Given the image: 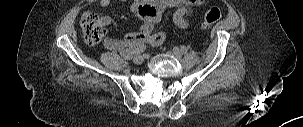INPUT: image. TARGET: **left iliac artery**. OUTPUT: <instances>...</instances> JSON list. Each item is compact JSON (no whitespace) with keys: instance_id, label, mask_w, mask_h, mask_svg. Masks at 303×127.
<instances>
[{"instance_id":"left-iliac-artery-1","label":"left iliac artery","mask_w":303,"mask_h":127,"mask_svg":"<svg viewBox=\"0 0 303 127\" xmlns=\"http://www.w3.org/2000/svg\"><path fill=\"white\" fill-rule=\"evenodd\" d=\"M180 51L185 54L187 52V48L185 46H181Z\"/></svg>"}]
</instances>
